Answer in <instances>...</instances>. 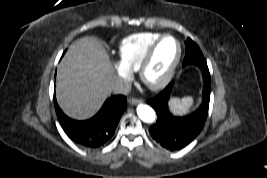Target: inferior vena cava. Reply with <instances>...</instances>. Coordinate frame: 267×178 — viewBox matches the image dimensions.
I'll use <instances>...</instances> for the list:
<instances>
[{
	"instance_id": "602c4592",
	"label": "inferior vena cava",
	"mask_w": 267,
	"mask_h": 178,
	"mask_svg": "<svg viewBox=\"0 0 267 178\" xmlns=\"http://www.w3.org/2000/svg\"><path fill=\"white\" fill-rule=\"evenodd\" d=\"M108 91L115 94H128L131 90V84L121 78H116L109 86Z\"/></svg>"
}]
</instances>
